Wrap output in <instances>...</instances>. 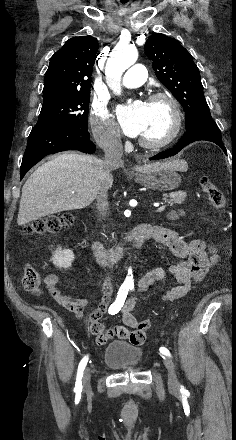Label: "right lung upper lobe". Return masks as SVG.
<instances>
[{
    "mask_svg": "<svg viewBox=\"0 0 236 440\" xmlns=\"http://www.w3.org/2000/svg\"><path fill=\"white\" fill-rule=\"evenodd\" d=\"M98 42L92 36L71 38L50 59L44 78L43 104L90 93Z\"/></svg>",
    "mask_w": 236,
    "mask_h": 440,
    "instance_id": "1",
    "label": "right lung upper lobe"
}]
</instances>
